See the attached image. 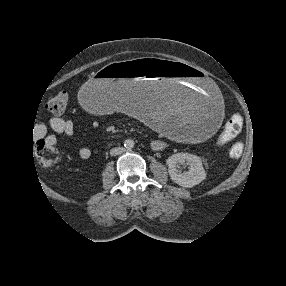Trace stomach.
<instances>
[{
	"label": "stomach",
	"instance_id": "obj_1",
	"mask_svg": "<svg viewBox=\"0 0 286 286\" xmlns=\"http://www.w3.org/2000/svg\"><path fill=\"white\" fill-rule=\"evenodd\" d=\"M78 100L100 115L117 108L139 115L156 132L189 143L213 139L227 120L219 88L178 61L128 58L111 64L80 88Z\"/></svg>",
	"mask_w": 286,
	"mask_h": 286
}]
</instances>
